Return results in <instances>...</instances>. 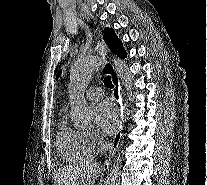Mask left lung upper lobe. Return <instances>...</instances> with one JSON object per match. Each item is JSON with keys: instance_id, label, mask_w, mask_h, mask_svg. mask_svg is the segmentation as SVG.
Instances as JSON below:
<instances>
[{"instance_id": "left-lung-upper-lobe-1", "label": "left lung upper lobe", "mask_w": 207, "mask_h": 185, "mask_svg": "<svg viewBox=\"0 0 207 185\" xmlns=\"http://www.w3.org/2000/svg\"><path fill=\"white\" fill-rule=\"evenodd\" d=\"M103 39L114 54H116L120 58H126V52L123 48L122 42L115 35L114 30L112 28H106L104 30ZM60 73L61 72L59 71L57 73V76H59Z\"/></svg>"}]
</instances>
